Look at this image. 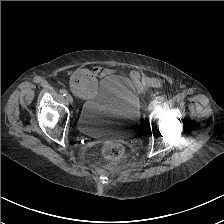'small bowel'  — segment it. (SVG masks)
Instances as JSON below:
<instances>
[{
    "mask_svg": "<svg viewBox=\"0 0 224 224\" xmlns=\"http://www.w3.org/2000/svg\"><path fill=\"white\" fill-rule=\"evenodd\" d=\"M92 71L100 77H105L108 75H111L115 72V69L107 67L103 68L99 65L94 66L92 68ZM130 80L132 84L138 89V90H143L144 88L151 86V87H157L159 86V82L155 79L151 78H142L141 75L137 71H132L129 74Z\"/></svg>",
    "mask_w": 224,
    "mask_h": 224,
    "instance_id": "1",
    "label": "small bowel"
}]
</instances>
